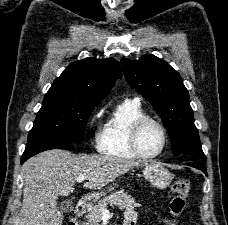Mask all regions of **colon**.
<instances>
[{
	"label": "colon",
	"mask_w": 228,
	"mask_h": 225,
	"mask_svg": "<svg viewBox=\"0 0 228 225\" xmlns=\"http://www.w3.org/2000/svg\"><path fill=\"white\" fill-rule=\"evenodd\" d=\"M189 191L190 182L187 179H178L172 184V200L169 207L171 216L176 218L183 214Z\"/></svg>",
	"instance_id": "1"
}]
</instances>
